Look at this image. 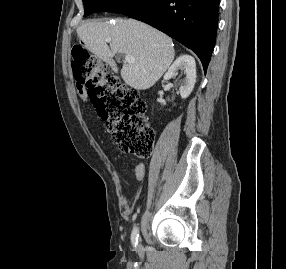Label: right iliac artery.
<instances>
[{"label":"right iliac artery","instance_id":"1","mask_svg":"<svg viewBox=\"0 0 286 269\" xmlns=\"http://www.w3.org/2000/svg\"><path fill=\"white\" fill-rule=\"evenodd\" d=\"M138 238H139V229L138 227H135L131 234V241L134 247H137L138 245Z\"/></svg>","mask_w":286,"mask_h":269}]
</instances>
